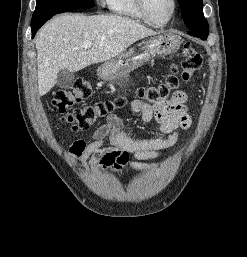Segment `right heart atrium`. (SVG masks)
Masks as SVG:
<instances>
[{"mask_svg":"<svg viewBox=\"0 0 247 257\" xmlns=\"http://www.w3.org/2000/svg\"><path fill=\"white\" fill-rule=\"evenodd\" d=\"M99 1L101 4H105L106 3V0H97Z\"/></svg>","mask_w":247,"mask_h":257,"instance_id":"d8ad5b80","label":"right heart atrium"}]
</instances>
